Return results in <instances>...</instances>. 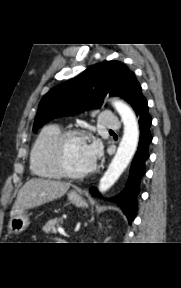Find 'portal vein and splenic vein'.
<instances>
[{"instance_id": "18ae733b", "label": "portal vein and splenic vein", "mask_w": 181, "mask_h": 288, "mask_svg": "<svg viewBox=\"0 0 181 288\" xmlns=\"http://www.w3.org/2000/svg\"><path fill=\"white\" fill-rule=\"evenodd\" d=\"M58 231H59V233L62 234L63 236L68 237V235L65 233L64 229L59 228Z\"/></svg>"}]
</instances>
